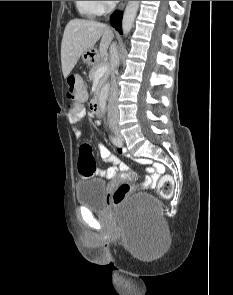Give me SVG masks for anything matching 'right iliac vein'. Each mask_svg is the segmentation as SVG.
<instances>
[{"mask_svg":"<svg viewBox=\"0 0 233 295\" xmlns=\"http://www.w3.org/2000/svg\"><path fill=\"white\" fill-rule=\"evenodd\" d=\"M114 133L117 135L118 133H119V130H118V128L117 127H114Z\"/></svg>","mask_w":233,"mask_h":295,"instance_id":"obj_1","label":"right iliac vein"}]
</instances>
